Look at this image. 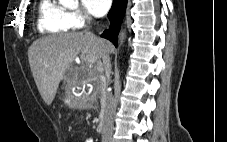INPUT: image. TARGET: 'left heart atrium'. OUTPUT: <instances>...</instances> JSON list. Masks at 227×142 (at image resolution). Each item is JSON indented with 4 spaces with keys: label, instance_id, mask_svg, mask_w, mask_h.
<instances>
[{
    "label": "left heart atrium",
    "instance_id": "1",
    "mask_svg": "<svg viewBox=\"0 0 227 142\" xmlns=\"http://www.w3.org/2000/svg\"><path fill=\"white\" fill-rule=\"evenodd\" d=\"M82 4L90 14L101 17L109 10L111 0H82Z\"/></svg>",
    "mask_w": 227,
    "mask_h": 142
}]
</instances>
